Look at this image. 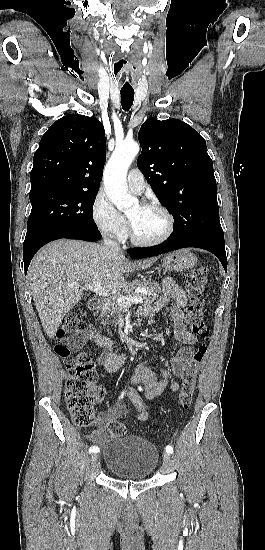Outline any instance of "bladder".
Segmentation results:
<instances>
[{"instance_id": "bladder-1", "label": "bladder", "mask_w": 265, "mask_h": 550, "mask_svg": "<svg viewBox=\"0 0 265 550\" xmlns=\"http://www.w3.org/2000/svg\"><path fill=\"white\" fill-rule=\"evenodd\" d=\"M159 453L148 440L135 436H113L104 452L107 470L125 480H144L158 464Z\"/></svg>"}]
</instances>
